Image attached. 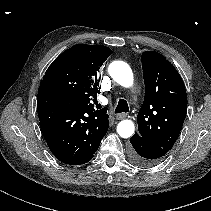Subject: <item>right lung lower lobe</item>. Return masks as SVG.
<instances>
[{"instance_id":"98d812e1","label":"right lung lower lobe","mask_w":211,"mask_h":211,"mask_svg":"<svg viewBox=\"0 0 211 211\" xmlns=\"http://www.w3.org/2000/svg\"><path fill=\"white\" fill-rule=\"evenodd\" d=\"M37 109L43 135L58 160L80 165L92 159L108 130V117L88 111L72 95L42 86Z\"/></svg>"}]
</instances>
